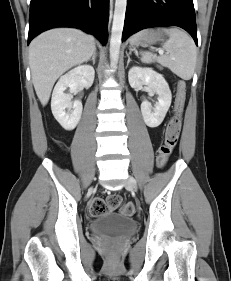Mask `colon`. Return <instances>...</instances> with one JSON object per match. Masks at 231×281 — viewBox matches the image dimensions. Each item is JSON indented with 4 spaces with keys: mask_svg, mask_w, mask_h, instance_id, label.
Wrapping results in <instances>:
<instances>
[{
    "mask_svg": "<svg viewBox=\"0 0 231 281\" xmlns=\"http://www.w3.org/2000/svg\"><path fill=\"white\" fill-rule=\"evenodd\" d=\"M186 100V85L183 81L178 82L174 114L170 119L164 135V142L159 148L157 165L164 167L168 162L180 135L181 118ZM121 209V211L132 216L136 213V207L132 202H125L119 195H111L107 199L94 198L89 205V212L92 216H98L109 210Z\"/></svg>",
    "mask_w": 231,
    "mask_h": 281,
    "instance_id": "colon-1",
    "label": "colon"
}]
</instances>
